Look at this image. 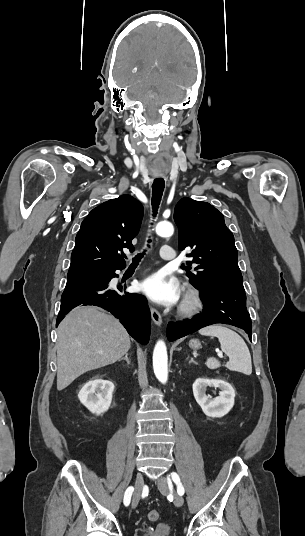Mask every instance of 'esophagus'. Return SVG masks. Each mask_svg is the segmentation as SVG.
I'll use <instances>...</instances> for the list:
<instances>
[{"label": "esophagus", "mask_w": 305, "mask_h": 536, "mask_svg": "<svg viewBox=\"0 0 305 536\" xmlns=\"http://www.w3.org/2000/svg\"><path fill=\"white\" fill-rule=\"evenodd\" d=\"M151 316H152V319L154 321V323L158 326H160L162 324V317L159 313V311H157L155 308L151 307Z\"/></svg>", "instance_id": "esophagus-1"}]
</instances>
